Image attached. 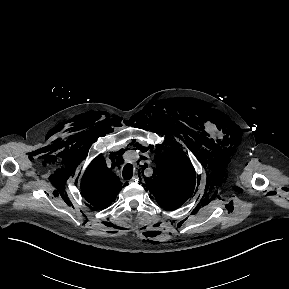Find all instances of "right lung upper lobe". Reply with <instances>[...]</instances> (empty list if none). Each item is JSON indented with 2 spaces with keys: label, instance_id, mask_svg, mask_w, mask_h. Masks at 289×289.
Here are the masks:
<instances>
[{
  "label": "right lung upper lobe",
  "instance_id": "cb5924a9",
  "mask_svg": "<svg viewBox=\"0 0 289 289\" xmlns=\"http://www.w3.org/2000/svg\"><path fill=\"white\" fill-rule=\"evenodd\" d=\"M121 185L119 178L105 167L104 159L98 156L82 177L81 191L90 209H103L116 199Z\"/></svg>",
  "mask_w": 289,
  "mask_h": 289
}]
</instances>
